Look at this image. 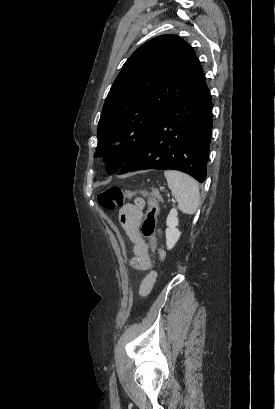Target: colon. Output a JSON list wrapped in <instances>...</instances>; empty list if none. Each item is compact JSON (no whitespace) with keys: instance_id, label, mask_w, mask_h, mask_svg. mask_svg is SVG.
Wrapping results in <instances>:
<instances>
[{"instance_id":"5ec220e1","label":"colon","mask_w":275,"mask_h":409,"mask_svg":"<svg viewBox=\"0 0 275 409\" xmlns=\"http://www.w3.org/2000/svg\"><path fill=\"white\" fill-rule=\"evenodd\" d=\"M134 193L125 191L117 186L103 190L98 195V202L104 208L105 216H112L114 210L120 209L124 203L129 201ZM159 204L154 198L149 199L148 211L141 224V233L144 238L148 239L152 253L154 254L157 246L155 229L158 223ZM149 286V284L147 285Z\"/></svg>"}]
</instances>
